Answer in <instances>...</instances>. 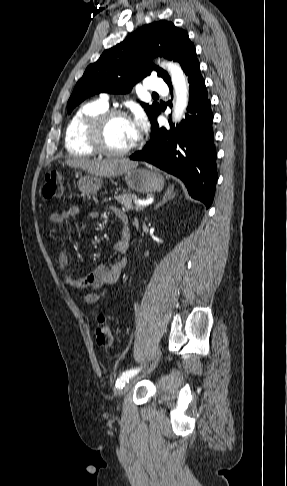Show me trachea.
Listing matches in <instances>:
<instances>
[{
    "label": "trachea",
    "mask_w": 287,
    "mask_h": 486,
    "mask_svg": "<svg viewBox=\"0 0 287 486\" xmlns=\"http://www.w3.org/2000/svg\"><path fill=\"white\" fill-rule=\"evenodd\" d=\"M154 96H158V94H153Z\"/></svg>",
    "instance_id": "1"
}]
</instances>
